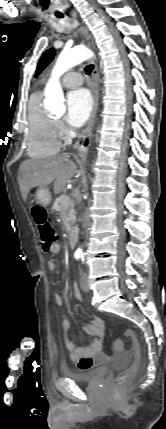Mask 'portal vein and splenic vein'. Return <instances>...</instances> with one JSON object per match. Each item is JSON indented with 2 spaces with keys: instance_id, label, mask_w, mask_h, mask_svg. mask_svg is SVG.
<instances>
[{
  "instance_id": "obj_1",
  "label": "portal vein and splenic vein",
  "mask_w": 166,
  "mask_h": 429,
  "mask_svg": "<svg viewBox=\"0 0 166 429\" xmlns=\"http://www.w3.org/2000/svg\"><path fill=\"white\" fill-rule=\"evenodd\" d=\"M69 200H70V198H69V197H67V198H66V201H69Z\"/></svg>"
}]
</instances>
